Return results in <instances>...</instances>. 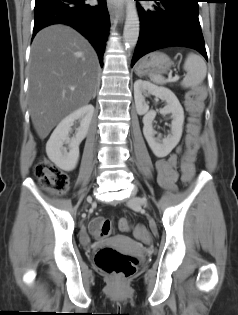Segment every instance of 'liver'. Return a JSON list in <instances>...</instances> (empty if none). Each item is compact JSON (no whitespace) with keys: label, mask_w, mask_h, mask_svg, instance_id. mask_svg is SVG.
<instances>
[{"label":"liver","mask_w":238,"mask_h":315,"mask_svg":"<svg viewBox=\"0 0 238 315\" xmlns=\"http://www.w3.org/2000/svg\"><path fill=\"white\" fill-rule=\"evenodd\" d=\"M98 70L95 50L73 28L51 25L35 36L28 94L31 120L41 139L64 117L89 103Z\"/></svg>","instance_id":"obj_1"}]
</instances>
